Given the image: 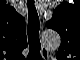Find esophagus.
I'll return each mask as SVG.
<instances>
[{"mask_svg": "<svg viewBox=\"0 0 80 60\" xmlns=\"http://www.w3.org/2000/svg\"><path fill=\"white\" fill-rule=\"evenodd\" d=\"M41 53H42V55H43V49L41 50Z\"/></svg>", "mask_w": 80, "mask_h": 60, "instance_id": "obj_1", "label": "esophagus"}]
</instances>
